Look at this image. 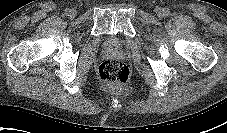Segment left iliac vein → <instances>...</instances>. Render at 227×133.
Here are the masks:
<instances>
[{
    "label": "left iliac vein",
    "mask_w": 227,
    "mask_h": 133,
    "mask_svg": "<svg viewBox=\"0 0 227 133\" xmlns=\"http://www.w3.org/2000/svg\"><path fill=\"white\" fill-rule=\"evenodd\" d=\"M156 13H157L159 16L165 15V14H164V10H163L161 7H157V8H156Z\"/></svg>",
    "instance_id": "1"
}]
</instances>
